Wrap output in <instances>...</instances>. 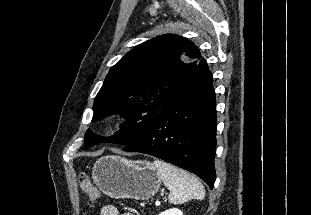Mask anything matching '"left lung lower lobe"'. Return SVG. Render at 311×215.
<instances>
[{
  "mask_svg": "<svg viewBox=\"0 0 311 215\" xmlns=\"http://www.w3.org/2000/svg\"><path fill=\"white\" fill-rule=\"evenodd\" d=\"M216 122L212 74L202 58L187 83L123 150L149 154L186 169L212 189Z\"/></svg>",
  "mask_w": 311,
  "mask_h": 215,
  "instance_id": "obj_1",
  "label": "left lung lower lobe"
}]
</instances>
